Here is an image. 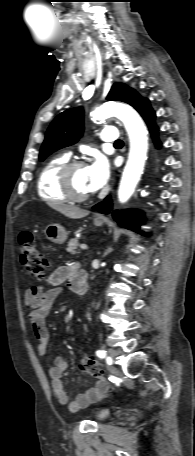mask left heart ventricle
<instances>
[{
	"instance_id": "b2bd125f",
	"label": "left heart ventricle",
	"mask_w": 195,
	"mask_h": 456,
	"mask_svg": "<svg viewBox=\"0 0 195 456\" xmlns=\"http://www.w3.org/2000/svg\"><path fill=\"white\" fill-rule=\"evenodd\" d=\"M75 190L82 194L90 193L88 188L87 167L77 168L72 175Z\"/></svg>"
}]
</instances>
